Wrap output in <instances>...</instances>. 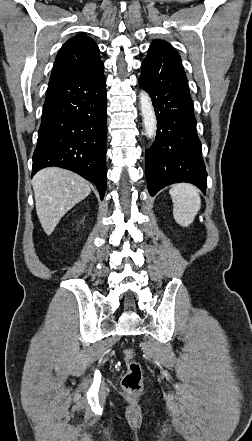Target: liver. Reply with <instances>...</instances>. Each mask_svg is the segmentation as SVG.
Returning <instances> with one entry per match:
<instances>
[{"instance_id": "6515ba94", "label": "liver", "mask_w": 252, "mask_h": 441, "mask_svg": "<svg viewBox=\"0 0 252 441\" xmlns=\"http://www.w3.org/2000/svg\"><path fill=\"white\" fill-rule=\"evenodd\" d=\"M36 212L47 235L61 218L91 192L89 183L81 176L57 167L40 170L33 177Z\"/></svg>"}]
</instances>
